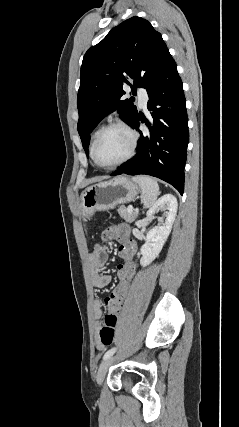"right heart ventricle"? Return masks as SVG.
Segmentation results:
<instances>
[{"mask_svg":"<svg viewBox=\"0 0 239 427\" xmlns=\"http://www.w3.org/2000/svg\"><path fill=\"white\" fill-rule=\"evenodd\" d=\"M98 131H99V130L95 131V132L93 133L92 137H91L90 151H91V147H92L93 141H94V139H95V137H96V135H97Z\"/></svg>","mask_w":239,"mask_h":427,"instance_id":"e07e8e85","label":"right heart ventricle"}]
</instances>
